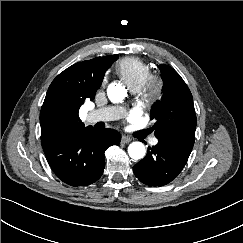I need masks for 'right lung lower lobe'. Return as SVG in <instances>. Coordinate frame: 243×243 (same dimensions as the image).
<instances>
[{
    "label": "right lung lower lobe",
    "mask_w": 243,
    "mask_h": 243,
    "mask_svg": "<svg viewBox=\"0 0 243 243\" xmlns=\"http://www.w3.org/2000/svg\"><path fill=\"white\" fill-rule=\"evenodd\" d=\"M121 135L111 129L87 127L65 136L41 142L50 167L71 186L97 181L105 168V150L118 145Z\"/></svg>",
    "instance_id": "right-lung-lower-lobe-1"
}]
</instances>
